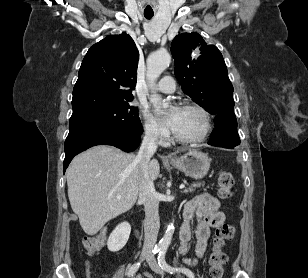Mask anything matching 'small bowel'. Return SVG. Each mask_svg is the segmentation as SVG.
I'll list each match as a JSON object with an SVG mask.
<instances>
[{"label": "small bowel", "mask_w": 308, "mask_h": 278, "mask_svg": "<svg viewBox=\"0 0 308 278\" xmlns=\"http://www.w3.org/2000/svg\"><path fill=\"white\" fill-rule=\"evenodd\" d=\"M183 224L180 228V247L179 253L185 256L188 251V244L192 237L191 221L195 219V256L194 258H184L188 265H194L201 259L207 250L208 238L210 236V229L216 228L224 224L225 216L220 210V202L214 196L203 193L188 201L183 211ZM147 278H151L148 273L145 274ZM137 278H143L138 276Z\"/></svg>", "instance_id": "1"}]
</instances>
